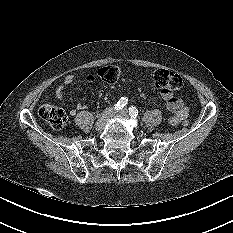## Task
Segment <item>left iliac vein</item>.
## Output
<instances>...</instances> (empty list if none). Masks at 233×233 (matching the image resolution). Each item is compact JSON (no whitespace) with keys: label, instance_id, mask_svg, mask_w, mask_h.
Here are the masks:
<instances>
[{"label":"left iliac vein","instance_id":"obj_1","mask_svg":"<svg viewBox=\"0 0 233 233\" xmlns=\"http://www.w3.org/2000/svg\"><path fill=\"white\" fill-rule=\"evenodd\" d=\"M115 115H116L117 117H121V118H127V117H128L127 111H126L125 109H122V110H120V111H117V112L115 113Z\"/></svg>","mask_w":233,"mask_h":233}]
</instances>
